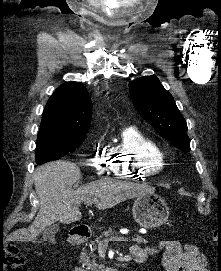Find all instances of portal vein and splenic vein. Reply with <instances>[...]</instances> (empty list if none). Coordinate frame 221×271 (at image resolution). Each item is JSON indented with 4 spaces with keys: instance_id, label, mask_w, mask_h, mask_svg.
Returning a JSON list of instances; mask_svg holds the SVG:
<instances>
[{
    "instance_id": "18ae733b",
    "label": "portal vein and splenic vein",
    "mask_w": 221,
    "mask_h": 271,
    "mask_svg": "<svg viewBox=\"0 0 221 271\" xmlns=\"http://www.w3.org/2000/svg\"><path fill=\"white\" fill-rule=\"evenodd\" d=\"M95 201H97L96 197H94ZM108 242L111 240V242H130V237H113L111 234L106 239Z\"/></svg>"
}]
</instances>
